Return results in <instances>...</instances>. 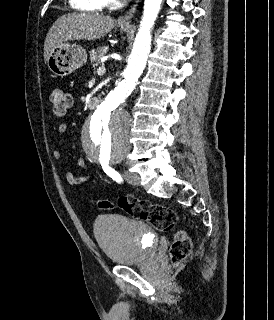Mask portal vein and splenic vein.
I'll list each match as a JSON object with an SVG mask.
<instances>
[{"label":"portal vein and splenic vein","mask_w":274,"mask_h":320,"mask_svg":"<svg viewBox=\"0 0 274 320\" xmlns=\"http://www.w3.org/2000/svg\"><path fill=\"white\" fill-rule=\"evenodd\" d=\"M102 70H104V66H102V68H98L97 72H102Z\"/></svg>","instance_id":"obj_1"}]
</instances>
